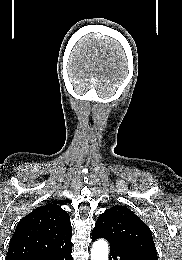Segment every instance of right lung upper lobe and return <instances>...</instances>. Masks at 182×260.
Returning <instances> with one entry per match:
<instances>
[{"label": "right lung upper lobe", "mask_w": 182, "mask_h": 260, "mask_svg": "<svg viewBox=\"0 0 182 260\" xmlns=\"http://www.w3.org/2000/svg\"><path fill=\"white\" fill-rule=\"evenodd\" d=\"M62 205V202H58ZM69 214L57 203L36 208L18 223L6 260H31L72 246Z\"/></svg>", "instance_id": "1"}]
</instances>
